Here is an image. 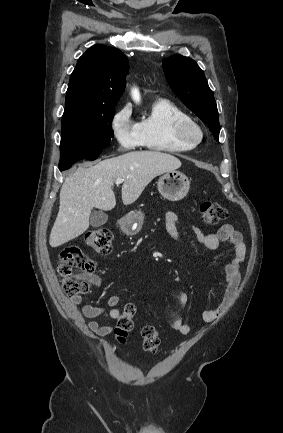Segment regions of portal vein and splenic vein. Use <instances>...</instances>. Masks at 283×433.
<instances>
[{
	"instance_id": "obj_1",
	"label": "portal vein and splenic vein",
	"mask_w": 283,
	"mask_h": 433,
	"mask_svg": "<svg viewBox=\"0 0 283 433\" xmlns=\"http://www.w3.org/2000/svg\"><path fill=\"white\" fill-rule=\"evenodd\" d=\"M127 178H129V176H127ZM124 178H116L115 180V184H121V182H123Z\"/></svg>"
}]
</instances>
